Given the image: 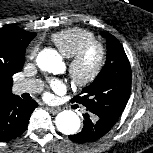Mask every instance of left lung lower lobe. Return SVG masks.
Segmentation results:
<instances>
[{
    "label": "left lung lower lobe",
    "instance_id": "1",
    "mask_svg": "<svg viewBox=\"0 0 153 153\" xmlns=\"http://www.w3.org/2000/svg\"><path fill=\"white\" fill-rule=\"evenodd\" d=\"M84 127L76 135H70L69 139L77 143H90L102 138L110 129L103 119L97 118L92 113L87 112L83 115Z\"/></svg>",
    "mask_w": 153,
    "mask_h": 153
}]
</instances>
